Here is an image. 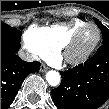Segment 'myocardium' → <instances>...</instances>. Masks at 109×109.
<instances>
[{
    "label": "myocardium",
    "mask_w": 109,
    "mask_h": 109,
    "mask_svg": "<svg viewBox=\"0 0 109 109\" xmlns=\"http://www.w3.org/2000/svg\"><path fill=\"white\" fill-rule=\"evenodd\" d=\"M88 27H94L96 29L97 37H96L95 41L93 42V44L90 46V48L88 50H86L84 53H82V54H80L78 56H74L72 54V50L76 46V44L78 43L79 38L82 35V33ZM100 40H101L100 28L94 23H86L83 26L77 28L72 33L70 38L67 40V42L61 48L60 53H61L63 59L68 64L73 65V66H78V65H81V64L85 63L92 56V54L94 53V51L98 47Z\"/></svg>",
    "instance_id": "1"
}]
</instances>
